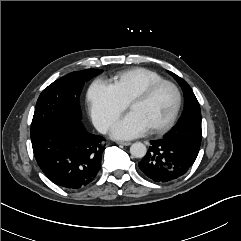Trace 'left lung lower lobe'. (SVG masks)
I'll return each instance as SVG.
<instances>
[{
    "mask_svg": "<svg viewBox=\"0 0 241 241\" xmlns=\"http://www.w3.org/2000/svg\"><path fill=\"white\" fill-rule=\"evenodd\" d=\"M150 144L149 150L138 165L143 174L155 182H169L180 178L196 159L181 145L171 140H153Z\"/></svg>",
    "mask_w": 241,
    "mask_h": 241,
    "instance_id": "1",
    "label": "left lung lower lobe"
}]
</instances>
